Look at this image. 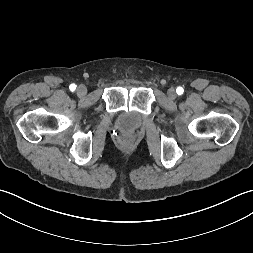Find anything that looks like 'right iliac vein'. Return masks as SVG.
Segmentation results:
<instances>
[{
  "label": "right iliac vein",
  "mask_w": 253,
  "mask_h": 253,
  "mask_svg": "<svg viewBox=\"0 0 253 253\" xmlns=\"http://www.w3.org/2000/svg\"><path fill=\"white\" fill-rule=\"evenodd\" d=\"M87 93V88L86 86L84 85H79L78 88H77V95L82 97L84 95H86Z\"/></svg>",
  "instance_id": "63e3f726"
}]
</instances>
